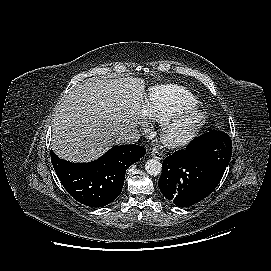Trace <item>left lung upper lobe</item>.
<instances>
[{
    "label": "left lung upper lobe",
    "instance_id": "left-lung-upper-lobe-1",
    "mask_svg": "<svg viewBox=\"0 0 271 271\" xmlns=\"http://www.w3.org/2000/svg\"><path fill=\"white\" fill-rule=\"evenodd\" d=\"M200 157L221 170L226 169L232 155V142L228 135L220 141L203 145L200 150Z\"/></svg>",
    "mask_w": 271,
    "mask_h": 271
}]
</instances>
